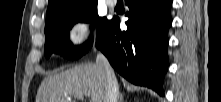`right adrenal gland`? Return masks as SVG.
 <instances>
[{"instance_id": "1", "label": "right adrenal gland", "mask_w": 221, "mask_h": 102, "mask_svg": "<svg viewBox=\"0 0 221 102\" xmlns=\"http://www.w3.org/2000/svg\"><path fill=\"white\" fill-rule=\"evenodd\" d=\"M119 102H124L123 100V94L121 93L120 96H119Z\"/></svg>"}]
</instances>
